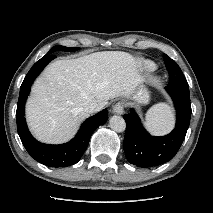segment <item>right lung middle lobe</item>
I'll return each instance as SVG.
<instances>
[{
    "label": "right lung middle lobe",
    "mask_w": 213,
    "mask_h": 213,
    "mask_svg": "<svg viewBox=\"0 0 213 213\" xmlns=\"http://www.w3.org/2000/svg\"><path fill=\"white\" fill-rule=\"evenodd\" d=\"M58 50L71 52V51L78 50V48L57 45V46H54L53 48H51V50L47 54H52L53 52L58 51Z\"/></svg>",
    "instance_id": "dd1d6c3e"
}]
</instances>
